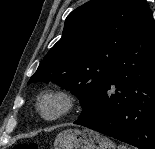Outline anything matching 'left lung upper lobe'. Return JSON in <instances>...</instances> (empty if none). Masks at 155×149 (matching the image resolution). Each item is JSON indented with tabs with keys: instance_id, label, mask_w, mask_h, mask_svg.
<instances>
[{
	"instance_id": "obj_1",
	"label": "left lung upper lobe",
	"mask_w": 155,
	"mask_h": 149,
	"mask_svg": "<svg viewBox=\"0 0 155 149\" xmlns=\"http://www.w3.org/2000/svg\"><path fill=\"white\" fill-rule=\"evenodd\" d=\"M149 13L146 0H91L76 8L28 84L56 83L79 97L86 108L119 51Z\"/></svg>"
}]
</instances>
